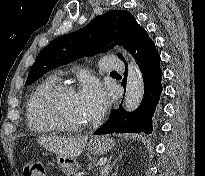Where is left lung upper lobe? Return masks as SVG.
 <instances>
[{
    "instance_id": "obj_1",
    "label": "left lung upper lobe",
    "mask_w": 205,
    "mask_h": 176,
    "mask_svg": "<svg viewBox=\"0 0 205 176\" xmlns=\"http://www.w3.org/2000/svg\"><path fill=\"white\" fill-rule=\"evenodd\" d=\"M139 27L134 16L125 10H112L96 16L82 29L57 37L44 47L32 65L25 85L77 58L106 52L113 46H107L110 42L116 41L127 48ZM119 57H122L120 53Z\"/></svg>"
}]
</instances>
